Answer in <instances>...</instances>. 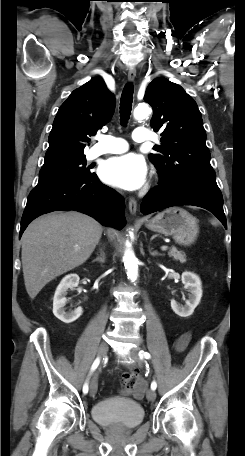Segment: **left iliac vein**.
Returning <instances> with one entry per match:
<instances>
[{
    "label": "left iliac vein",
    "mask_w": 245,
    "mask_h": 456,
    "mask_svg": "<svg viewBox=\"0 0 245 456\" xmlns=\"http://www.w3.org/2000/svg\"><path fill=\"white\" fill-rule=\"evenodd\" d=\"M139 351L140 349L138 347H134L130 351V356L135 359L139 360ZM146 397L149 401H154L156 399V392L153 389L147 390Z\"/></svg>",
    "instance_id": "left-iliac-vein-1"
}]
</instances>
